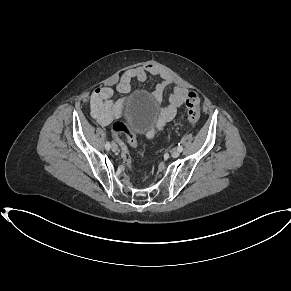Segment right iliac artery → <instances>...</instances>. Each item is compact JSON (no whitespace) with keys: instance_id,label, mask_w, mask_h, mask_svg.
Here are the masks:
<instances>
[{"instance_id":"1","label":"right iliac artery","mask_w":291,"mask_h":291,"mask_svg":"<svg viewBox=\"0 0 291 291\" xmlns=\"http://www.w3.org/2000/svg\"><path fill=\"white\" fill-rule=\"evenodd\" d=\"M105 148H106L107 150L110 149V142H109V141L106 142V144H105Z\"/></svg>"}]
</instances>
